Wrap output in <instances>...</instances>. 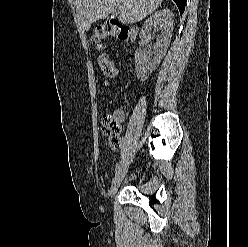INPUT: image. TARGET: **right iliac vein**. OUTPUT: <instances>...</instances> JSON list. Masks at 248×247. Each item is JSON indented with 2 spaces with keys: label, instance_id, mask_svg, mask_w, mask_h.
Masks as SVG:
<instances>
[{
  "label": "right iliac vein",
  "instance_id": "obj_1",
  "mask_svg": "<svg viewBox=\"0 0 248 247\" xmlns=\"http://www.w3.org/2000/svg\"><path fill=\"white\" fill-rule=\"evenodd\" d=\"M128 171V168L125 166L123 169H121L115 176L113 182H112V185H111V188H110V191H109V194L111 197H114V195L117 193L118 191V188L122 182V180L124 179L126 173Z\"/></svg>",
  "mask_w": 248,
  "mask_h": 247
}]
</instances>
